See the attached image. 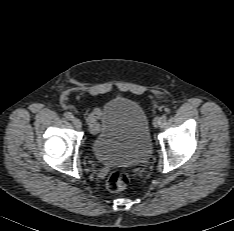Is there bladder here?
I'll list each match as a JSON object with an SVG mask.
<instances>
[{
  "mask_svg": "<svg viewBox=\"0 0 234 231\" xmlns=\"http://www.w3.org/2000/svg\"><path fill=\"white\" fill-rule=\"evenodd\" d=\"M91 150L95 159L106 166L145 163L152 154V140L142 106L127 97H117L108 102Z\"/></svg>",
  "mask_w": 234,
  "mask_h": 231,
  "instance_id": "bladder-1",
  "label": "bladder"
}]
</instances>
